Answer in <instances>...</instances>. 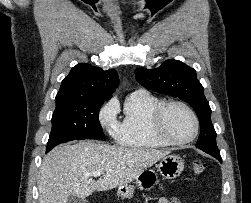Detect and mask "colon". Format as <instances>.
<instances>
[{
  "instance_id": "5ec220e1",
  "label": "colon",
  "mask_w": 251,
  "mask_h": 203,
  "mask_svg": "<svg viewBox=\"0 0 251 203\" xmlns=\"http://www.w3.org/2000/svg\"><path fill=\"white\" fill-rule=\"evenodd\" d=\"M192 167L196 174H202L205 172L207 165L206 162L203 161L202 159H196L194 160Z\"/></svg>"
}]
</instances>
